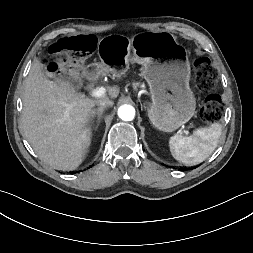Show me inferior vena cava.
Instances as JSON below:
<instances>
[{"instance_id":"inferior-vena-cava-1","label":"inferior vena cava","mask_w":253,"mask_h":253,"mask_svg":"<svg viewBox=\"0 0 253 253\" xmlns=\"http://www.w3.org/2000/svg\"><path fill=\"white\" fill-rule=\"evenodd\" d=\"M114 102L110 100L109 98H103L99 100L98 106L99 108H106V107H112Z\"/></svg>"}]
</instances>
